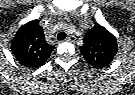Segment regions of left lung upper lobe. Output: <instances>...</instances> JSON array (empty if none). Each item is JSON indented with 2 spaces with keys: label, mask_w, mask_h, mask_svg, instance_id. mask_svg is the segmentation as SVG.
<instances>
[{
  "label": "left lung upper lobe",
  "mask_w": 135,
  "mask_h": 95,
  "mask_svg": "<svg viewBox=\"0 0 135 95\" xmlns=\"http://www.w3.org/2000/svg\"><path fill=\"white\" fill-rule=\"evenodd\" d=\"M83 41L84 44L80 47L81 54L94 68L108 66L117 54L116 38L99 24L87 31Z\"/></svg>",
  "instance_id": "obj_1"
}]
</instances>
